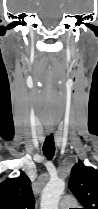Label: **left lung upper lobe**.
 Returning a JSON list of instances; mask_svg holds the SVG:
<instances>
[{"mask_svg":"<svg viewBox=\"0 0 98 209\" xmlns=\"http://www.w3.org/2000/svg\"><path fill=\"white\" fill-rule=\"evenodd\" d=\"M69 189L83 209H98V170L79 161L71 170Z\"/></svg>","mask_w":98,"mask_h":209,"instance_id":"left-lung-upper-lobe-1","label":"left lung upper lobe"}]
</instances>
